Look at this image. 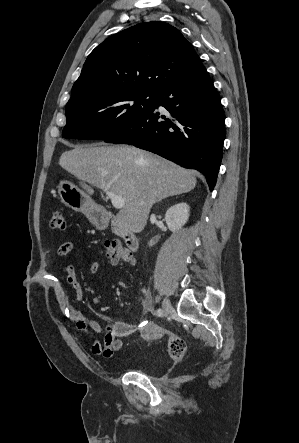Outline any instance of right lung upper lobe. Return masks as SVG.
<instances>
[{"label":"right lung upper lobe","mask_w":299,"mask_h":443,"mask_svg":"<svg viewBox=\"0 0 299 443\" xmlns=\"http://www.w3.org/2000/svg\"><path fill=\"white\" fill-rule=\"evenodd\" d=\"M203 69L177 28L141 23L110 36L89 54L67 104L118 91L156 93Z\"/></svg>","instance_id":"cb5924a9"}]
</instances>
